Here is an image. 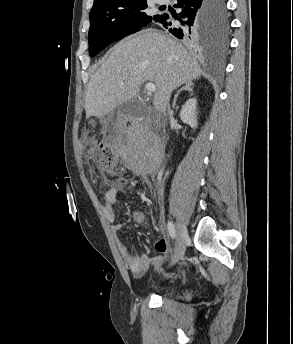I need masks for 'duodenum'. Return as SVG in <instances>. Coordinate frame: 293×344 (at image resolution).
I'll return each mask as SVG.
<instances>
[{
    "label": "duodenum",
    "mask_w": 293,
    "mask_h": 344,
    "mask_svg": "<svg viewBox=\"0 0 293 344\" xmlns=\"http://www.w3.org/2000/svg\"><path fill=\"white\" fill-rule=\"evenodd\" d=\"M131 124H132V125H134V124H135V122H134V121H132V122H131Z\"/></svg>",
    "instance_id": "duodenum-1"
}]
</instances>
